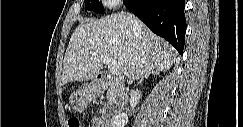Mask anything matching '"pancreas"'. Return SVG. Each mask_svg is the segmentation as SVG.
<instances>
[{
    "label": "pancreas",
    "instance_id": "cf45deb5",
    "mask_svg": "<svg viewBox=\"0 0 243 127\" xmlns=\"http://www.w3.org/2000/svg\"><path fill=\"white\" fill-rule=\"evenodd\" d=\"M111 98H112V96L109 95V96H108V99H111Z\"/></svg>",
    "mask_w": 243,
    "mask_h": 127
}]
</instances>
